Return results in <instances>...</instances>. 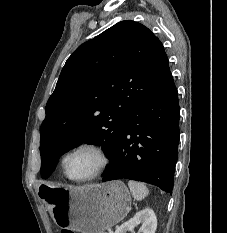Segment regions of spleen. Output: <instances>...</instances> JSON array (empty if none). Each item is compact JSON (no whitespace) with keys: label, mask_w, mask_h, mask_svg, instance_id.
Wrapping results in <instances>:
<instances>
[{"label":"spleen","mask_w":227,"mask_h":233,"mask_svg":"<svg viewBox=\"0 0 227 233\" xmlns=\"http://www.w3.org/2000/svg\"><path fill=\"white\" fill-rule=\"evenodd\" d=\"M128 186L130 188L133 198L137 201H141L149 193L148 188L143 183L130 180L128 182Z\"/></svg>","instance_id":"obj_1"}]
</instances>
